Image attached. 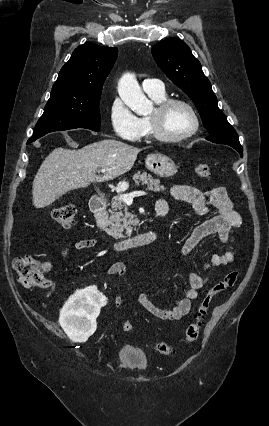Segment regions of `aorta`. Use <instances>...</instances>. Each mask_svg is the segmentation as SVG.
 I'll list each match as a JSON object with an SVG mask.
<instances>
[{"instance_id":"obj_1","label":"aorta","mask_w":269,"mask_h":426,"mask_svg":"<svg viewBox=\"0 0 269 426\" xmlns=\"http://www.w3.org/2000/svg\"><path fill=\"white\" fill-rule=\"evenodd\" d=\"M118 93L123 102L137 115H146L152 110V102L142 92L135 75L126 73L121 77Z\"/></svg>"}]
</instances>
